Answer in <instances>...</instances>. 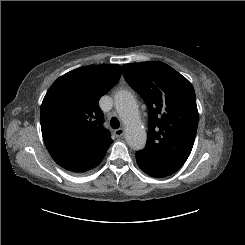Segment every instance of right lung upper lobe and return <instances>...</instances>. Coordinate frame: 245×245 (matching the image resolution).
I'll return each mask as SVG.
<instances>
[{
	"label": "right lung upper lobe",
	"mask_w": 245,
	"mask_h": 245,
	"mask_svg": "<svg viewBox=\"0 0 245 245\" xmlns=\"http://www.w3.org/2000/svg\"><path fill=\"white\" fill-rule=\"evenodd\" d=\"M121 77L116 64L89 65L59 77L40 110L45 145L61 167L81 173L104 153L112 139L103 127L98 101Z\"/></svg>",
	"instance_id": "obj_1"
}]
</instances>
